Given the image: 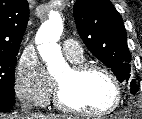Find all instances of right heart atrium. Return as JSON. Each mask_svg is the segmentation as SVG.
I'll list each match as a JSON object with an SVG mask.
<instances>
[{
	"instance_id": "right-heart-atrium-1",
	"label": "right heart atrium",
	"mask_w": 142,
	"mask_h": 119,
	"mask_svg": "<svg viewBox=\"0 0 142 119\" xmlns=\"http://www.w3.org/2000/svg\"><path fill=\"white\" fill-rule=\"evenodd\" d=\"M14 88L21 100L44 106L51 98L54 82L36 56L23 54L17 67Z\"/></svg>"
}]
</instances>
